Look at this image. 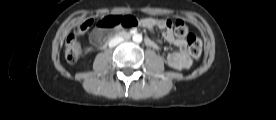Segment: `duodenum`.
Segmentation results:
<instances>
[{
  "label": "duodenum",
  "mask_w": 276,
  "mask_h": 120,
  "mask_svg": "<svg viewBox=\"0 0 276 120\" xmlns=\"http://www.w3.org/2000/svg\"><path fill=\"white\" fill-rule=\"evenodd\" d=\"M136 35V32H120L114 34L111 38H122V39H129L131 36ZM145 43H149V39H145Z\"/></svg>",
  "instance_id": "duodenum-1"
}]
</instances>
